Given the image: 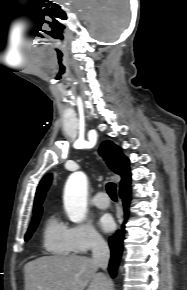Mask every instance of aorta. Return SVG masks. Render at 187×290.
<instances>
[{
    "label": "aorta",
    "instance_id": "1",
    "mask_svg": "<svg viewBox=\"0 0 187 290\" xmlns=\"http://www.w3.org/2000/svg\"><path fill=\"white\" fill-rule=\"evenodd\" d=\"M64 207L74 223L83 221L87 212V177L75 172L68 178L64 189Z\"/></svg>",
    "mask_w": 187,
    "mask_h": 290
}]
</instances>
